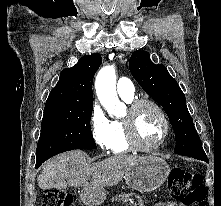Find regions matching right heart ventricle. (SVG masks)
I'll list each match as a JSON object with an SVG mask.
<instances>
[{"mask_svg":"<svg viewBox=\"0 0 221 206\" xmlns=\"http://www.w3.org/2000/svg\"><path fill=\"white\" fill-rule=\"evenodd\" d=\"M121 98L126 103H131L133 101V98H125V97ZM110 150L112 151L113 154H123L132 150L127 140L123 120L111 121Z\"/></svg>","mask_w":221,"mask_h":206,"instance_id":"1","label":"right heart ventricle"}]
</instances>
